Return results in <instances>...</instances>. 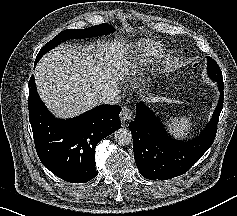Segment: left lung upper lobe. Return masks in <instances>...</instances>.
Returning a JSON list of instances; mask_svg holds the SVG:
<instances>
[{
	"instance_id": "5c2ea615",
	"label": "left lung upper lobe",
	"mask_w": 237,
	"mask_h": 216,
	"mask_svg": "<svg viewBox=\"0 0 237 216\" xmlns=\"http://www.w3.org/2000/svg\"><path fill=\"white\" fill-rule=\"evenodd\" d=\"M207 61H208V65H207L208 76L212 80L217 82L219 87H223L224 84H223V79H222V73L219 66L211 57H207Z\"/></svg>"
}]
</instances>
